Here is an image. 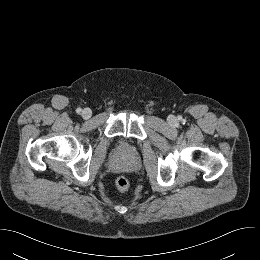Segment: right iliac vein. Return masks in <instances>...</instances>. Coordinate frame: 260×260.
Instances as JSON below:
<instances>
[{
  "mask_svg": "<svg viewBox=\"0 0 260 260\" xmlns=\"http://www.w3.org/2000/svg\"><path fill=\"white\" fill-rule=\"evenodd\" d=\"M83 119L87 120L92 116V111L89 108H85L81 113Z\"/></svg>",
  "mask_w": 260,
  "mask_h": 260,
  "instance_id": "right-iliac-vein-1",
  "label": "right iliac vein"
}]
</instances>
